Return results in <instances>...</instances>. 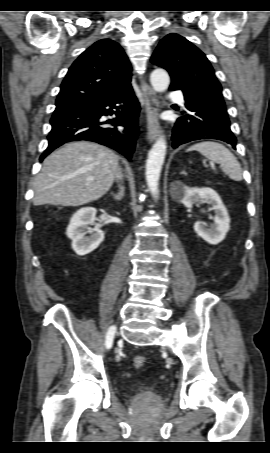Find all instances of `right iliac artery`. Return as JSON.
I'll use <instances>...</instances> for the list:
<instances>
[{"mask_svg": "<svg viewBox=\"0 0 270 453\" xmlns=\"http://www.w3.org/2000/svg\"><path fill=\"white\" fill-rule=\"evenodd\" d=\"M115 326H111L107 332V336H106V344L108 347H111L112 345V342H113V338H114V334H115Z\"/></svg>", "mask_w": 270, "mask_h": 453, "instance_id": "right-iliac-artery-1", "label": "right iliac artery"}]
</instances>
